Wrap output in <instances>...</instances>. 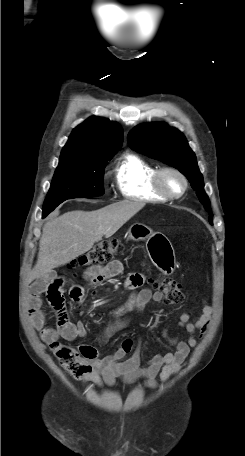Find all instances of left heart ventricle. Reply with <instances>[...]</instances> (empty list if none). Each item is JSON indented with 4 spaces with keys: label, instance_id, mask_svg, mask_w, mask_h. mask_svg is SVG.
<instances>
[{
    "label": "left heart ventricle",
    "instance_id": "obj_1",
    "mask_svg": "<svg viewBox=\"0 0 245 456\" xmlns=\"http://www.w3.org/2000/svg\"><path fill=\"white\" fill-rule=\"evenodd\" d=\"M162 181L165 188L173 194H178L183 189L182 180L173 173L164 174Z\"/></svg>",
    "mask_w": 245,
    "mask_h": 456
}]
</instances>
